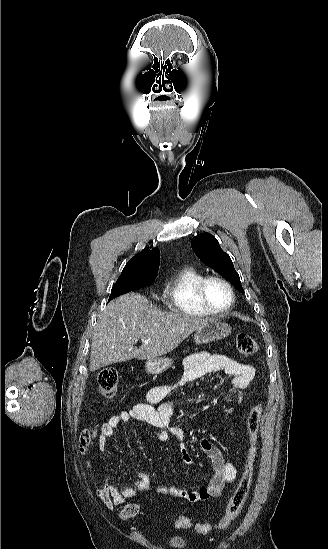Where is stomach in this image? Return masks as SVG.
<instances>
[{
	"instance_id": "obj_1",
	"label": "stomach",
	"mask_w": 328,
	"mask_h": 549,
	"mask_svg": "<svg viewBox=\"0 0 328 549\" xmlns=\"http://www.w3.org/2000/svg\"><path fill=\"white\" fill-rule=\"evenodd\" d=\"M232 333V327L227 323H222L218 319H210L206 325H202L200 329H197L194 333V341L196 345H205V343H212V341H220L224 337H228ZM173 361L168 357H156V359H147L145 363V371L149 375H159L164 373L169 367H171Z\"/></svg>"
}]
</instances>
